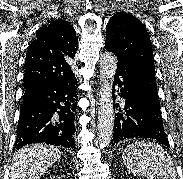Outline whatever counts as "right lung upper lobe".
Segmentation results:
<instances>
[{"mask_svg": "<svg viewBox=\"0 0 183 179\" xmlns=\"http://www.w3.org/2000/svg\"><path fill=\"white\" fill-rule=\"evenodd\" d=\"M78 49L74 28L57 19L43 25L26 53L24 88L45 82H69L75 79L71 69Z\"/></svg>", "mask_w": 183, "mask_h": 179, "instance_id": "cb5924a9", "label": "right lung upper lobe"}]
</instances>
